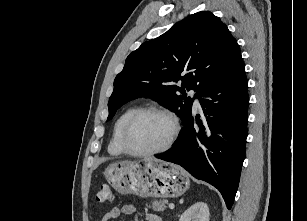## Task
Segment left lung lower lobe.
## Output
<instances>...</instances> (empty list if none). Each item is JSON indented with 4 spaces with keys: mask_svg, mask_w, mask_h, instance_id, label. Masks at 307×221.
<instances>
[{
    "mask_svg": "<svg viewBox=\"0 0 307 221\" xmlns=\"http://www.w3.org/2000/svg\"><path fill=\"white\" fill-rule=\"evenodd\" d=\"M205 120L192 114L174 146L156 158L182 166L216 187L230 209L237 192L247 138L248 86L241 53L199 99Z\"/></svg>",
    "mask_w": 307,
    "mask_h": 221,
    "instance_id": "left-lung-lower-lobe-1",
    "label": "left lung lower lobe"
}]
</instances>
